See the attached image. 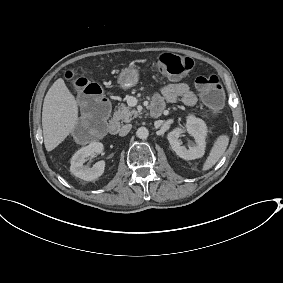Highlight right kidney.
Segmentation results:
<instances>
[{
  "label": "right kidney",
  "mask_w": 283,
  "mask_h": 283,
  "mask_svg": "<svg viewBox=\"0 0 283 283\" xmlns=\"http://www.w3.org/2000/svg\"><path fill=\"white\" fill-rule=\"evenodd\" d=\"M103 145L100 142H92L76 151L72 156L70 164L71 173L85 181H92L105 172V164L102 161L97 162L92 168H88L83 165L87 156L93 154H100L102 152Z\"/></svg>",
  "instance_id": "1"
}]
</instances>
